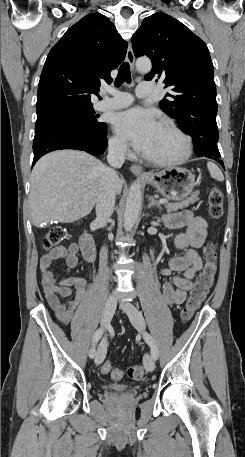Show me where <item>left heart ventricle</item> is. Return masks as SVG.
Here are the masks:
<instances>
[{
	"mask_svg": "<svg viewBox=\"0 0 245 457\" xmlns=\"http://www.w3.org/2000/svg\"><path fill=\"white\" fill-rule=\"evenodd\" d=\"M182 141L175 134L160 127L152 143L143 151L151 156H169L180 152Z\"/></svg>",
	"mask_w": 245,
	"mask_h": 457,
	"instance_id": "left-heart-ventricle-1",
	"label": "left heart ventricle"
}]
</instances>
